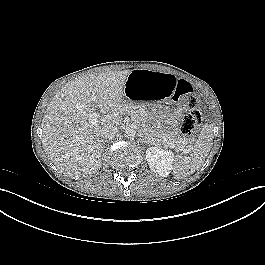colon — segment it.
<instances>
[{"label":"colon","instance_id":"colon-1","mask_svg":"<svg viewBox=\"0 0 265 265\" xmlns=\"http://www.w3.org/2000/svg\"><path fill=\"white\" fill-rule=\"evenodd\" d=\"M173 100L175 102L185 101L195 107L198 104L194 89L184 80H178L175 83ZM202 116L198 110L189 112L182 120L181 131L185 135L195 133L201 126Z\"/></svg>","mask_w":265,"mask_h":265}]
</instances>
